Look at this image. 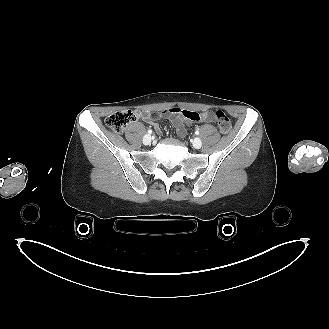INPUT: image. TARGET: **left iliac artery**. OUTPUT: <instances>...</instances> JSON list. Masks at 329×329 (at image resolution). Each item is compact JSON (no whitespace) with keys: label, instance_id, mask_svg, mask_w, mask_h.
I'll use <instances>...</instances> for the list:
<instances>
[{"label":"left iliac artery","instance_id":"left-iliac-artery-1","mask_svg":"<svg viewBox=\"0 0 329 329\" xmlns=\"http://www.w3.org/2000/svg\"><path fill=\"white\" fill-rule=\"evenodd\" d=\"M195 134H196V135H199V131H198V129L195 131Z\"/></svg>","mask_w":329,"mask_h":329}]
</instances>
